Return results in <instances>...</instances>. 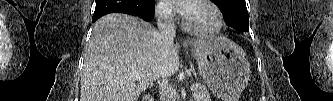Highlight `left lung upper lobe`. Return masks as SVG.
I'll list each match as a JSON object with an SVG mask.
<instances>
[{
  "instance_id": "5c2ea615",
  "label": "left lung upper lobe",
  "mask_w": 333,
  "mask_h": 101,
  "mask_svg": "<svg viewBox=\"0 0 333 101\" xmlns=\"http://www.w3.org/2000/svg\"><path fill=\"white\" fill-rule=\"evenodd\" d=\"M224 15L226 24L240 32L249 31L245 0H211Z\"/></svg>"
}]
</instances>
